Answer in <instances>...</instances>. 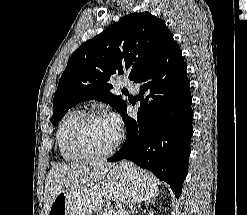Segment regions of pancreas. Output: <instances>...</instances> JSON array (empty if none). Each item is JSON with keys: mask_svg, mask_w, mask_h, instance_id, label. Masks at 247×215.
<instances>
[{"mask_svg": "<svg viewBox=\"0 0 247 215\" xmlns=\"http://www.w3.org/2000/svg\"><path fill=\"white\" fill-rule=\"evenodd\" d=\"M97 215H120V213L114 209L102 208L98 211Z\"/></svg>", "mask_w": 247, "mask_h": 215, "instance_id": "cf45deb5", "label": "pancreas"}]
</instances>
